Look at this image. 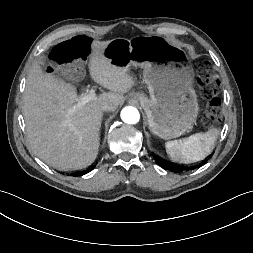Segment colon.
Instances as JSON below:
<instances>
[{
    "label": "colon",
    "instance_id": "1",
    "mask_svg": "<svg viewBox=\"0 0 253 253\" xmlns=\"http://www.w3.org/2000/svg\"><path fill=\"white\" fill-rule=\"evenodd\" d=\"M90 51V40L85 36H76L63 41L52 50V59L59 65H69L86 59ZM202 95L208 100L205 111L204 124L209 126L220 117V100L218 91L220 87L219 78L205 70L198 79Z\"/></svg>",
    "mask_w": 253,
    "mask_h": 253
}]
</instances>
